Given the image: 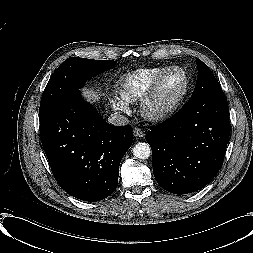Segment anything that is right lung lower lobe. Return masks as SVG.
Segmentation results:
<instances>
[{"mask_svg":"<svg viewBox=\"0 0 253 253\" xmlns=\"http://www.w3.org/2000/svg\"><path fill=\"white\" fill-rule=\"evenodd\" d=\"M40 139L59 185L75 198L94 202L116 189L133 134L130 125L104 121L77 91L40 120Z\"/></svg>","mask_w":253,"mask_h":253,"instance_id":"1","label":"right lung lower lobe"}]
</instances>
